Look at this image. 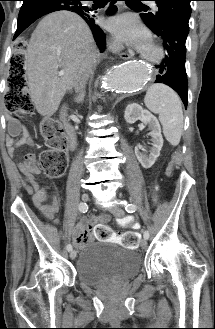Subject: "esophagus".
<instances>
[{
    "label": "esophagus",
    "instance_id": "obj_1",
    "mask_svg": "<svg viewBox=\"0 0 215 329\" xmlns=\"http://www.w3.org/2000/svg\"><path fill=\"white\" fill-rule=\"evenodd\" d=\"M131 56H132V54L127 53V52H122V53H120V57H121L122 59H129V58H131Z\"/></svg>",
    "mask_w": 215,
    "mask_h": 329
}]
</instances>
